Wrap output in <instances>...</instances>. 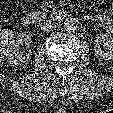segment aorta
<instances>
[{
	"mask_svg": "<svg viewBox=\"0 0 113 113\" xmlns=\"http://www.w3.org/2000/svg\"><path fill=\"white\" fill-rule=\"evenodd\" d=\"M63 27L67 32H74L79 28V21L74 17H68L64 21Z\"/></svg>",
	"mask_w": 113,
	"mask_h": 113,
	"instance_id": "aorta-1",
	"label": "aorta"
}]
</instances>
